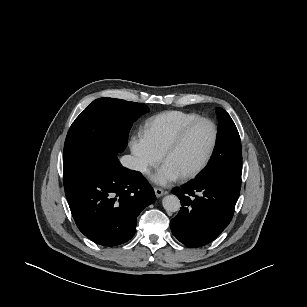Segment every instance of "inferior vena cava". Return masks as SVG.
Here are the masks:
<instances>
[{
    "label": "inferior vena cava",
    "instance_id": "obj_1",
    "mask_svg": "<svg viewBox=\"0 0 307 307\" xmlns=\"http://www.w3.org/2000/svg\"><path fill=\"white\" fill-rule=\"evenodd\" d=\"M120 162L123 166L132 170L140 172H146L147 170V165L143 161L131 155L123 156Z\"/></svg>",
    "mask_w": 307,
    "mask_h": 307
}]
</instances>
